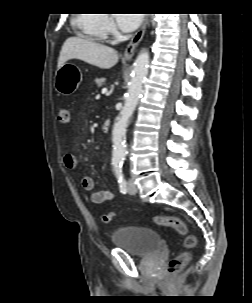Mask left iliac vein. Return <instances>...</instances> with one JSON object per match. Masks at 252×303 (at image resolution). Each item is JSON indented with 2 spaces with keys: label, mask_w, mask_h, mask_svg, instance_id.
<instances>
[{
  "label": "left iliac vein",
  "mask_w": 252,
  "mask_h": 303,
  "mask_svg": "<svg viewBox=\"0 0 252 303\" xmlns=\"http://www.w3.org/2000/svg\"><path fill=\"white\" fill-rule=\"evenodd\" d=\"M127 191L130 194H135L137 192L136 186L134 185L132 180L127 181Z\"/></svg>",
  "instance_id": "obj_1"
}]
</instances>
